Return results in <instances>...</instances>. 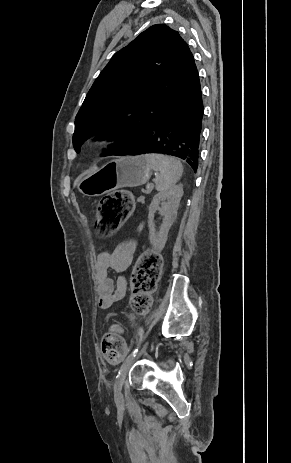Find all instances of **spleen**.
<instances>
[{
    "label": "spleen",
    "instance_id": "3e777b00",
    "mask_svg": "<svg viewBox=\"0 0 291 463\" xmlns=\"http://www.w3.org/2000/svg\"><path fill=\"white\" fill-rule=\"evenodd\" d=\"M145 158L156 172L155 187L158 191H165L180 180L183 167L177 159L161 154H146Z\"/></svg>",
    "mask_w": 291,
    "mask_h": 463
}]
</instances>
